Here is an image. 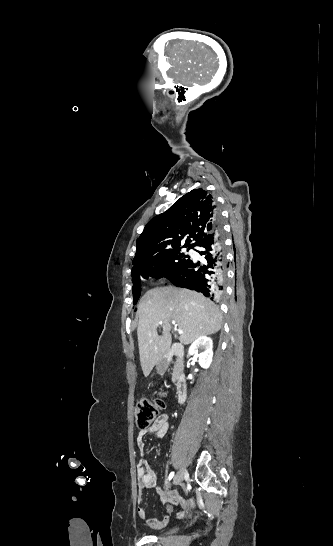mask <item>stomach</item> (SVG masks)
<instances>
[{"label": "stomach", "mask_w": 333, "mask_h": 546, "mask_svg": "<svg viewBox=\"0 0 333 546\" xmlns=\"http://www.w3.org/2000/svg\"><path fill=\"white\" fill-rule=\"evenodd\" d=\"M168 361L165 359V358H161L158 362H157V365H156V369H157V372L160 374V375H163L166 370H167V367H168Z\"/></svg>", "instance_id": "1"}]
</instances>
